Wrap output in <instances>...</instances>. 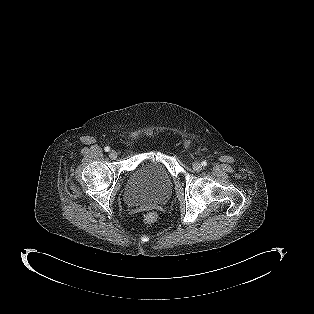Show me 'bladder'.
Returning a JSON list of instances; mask_svg holds the SVG:
<instances>
[{"label":"bladder","mask_w":314,"mask_h":314,"mask_svg":"<svg viewBox=\"0 0 314 314\" xmlns=\"http://www.w3.org/2000/svg\"><path fill=\"white\" fill-rule=\"evenodd\" d=\"M172 194V179L158 161L140 165L127 181L123 196L130 206H155L165 203Z\"/></svg>","instance_id":"bladder-1"}]
</instances>
